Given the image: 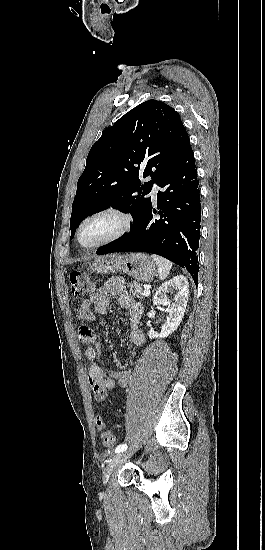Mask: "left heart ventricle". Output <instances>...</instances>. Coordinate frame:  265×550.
<instances>
[{
	"mask_svg": "<svg viewBox=\"0 0 265 550\" xmlns=\"http://www.w3.org/2000/svg\"><path fill=\"white\" fill-rule=\"evenodd\" d=\"M117 228V220L111 216H100L88 222L80 233V242L84 246L97 243Z\"/></svg>",
	"mask_w": 265,
	"mask_h": 550,
	"instance_id": "left-heart-ventricle-1",
	"label": "left heart ventricle"
}]
</instances>
